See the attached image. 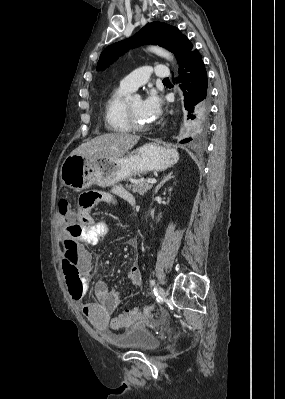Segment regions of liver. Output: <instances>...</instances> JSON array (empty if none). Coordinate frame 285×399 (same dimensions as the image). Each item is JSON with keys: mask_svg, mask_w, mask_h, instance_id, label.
<instances>
[{"mask_svg": "<svg viewBox=\"0 0 285 399\" xmlns=\"http://www.w3.org/2000/svg\"><path fill=\"white\" fill-rule=\"evenodd\" d=\"M140 137L128 133H107L83 143L71 155H81L92 161L100 158L124 156L139 141Z\"/></svg>", "mask_w": 285, "mask_h": 399, "instance_id": "6515ba94", "label": "liver"}]
</instances>
